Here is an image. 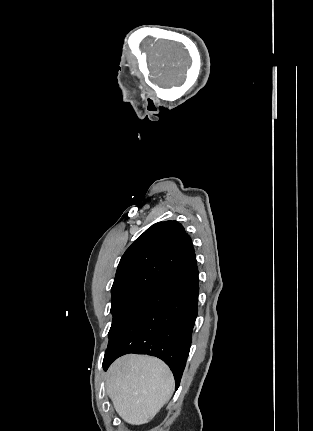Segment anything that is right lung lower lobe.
<instances>
[{
	"mask_svg": "<svg viewBox=\"0 0 313 431\" xmlns=\"http://www.w3.org/2000/svg\"><path fill=\"white\" fill-rule=\"evenodd\" d=\"M198 294L194 253L145 298L109 342L104 369L124 354L156 356L170 367L177 389L191 347Z\"/></svg>",
	"mask_w": 313,
	"mask_h": 431,
	"instance_id": "98d812e1",
	"label": "right lung lower lobe"
}]
</instances>
